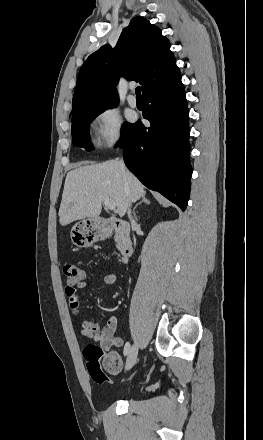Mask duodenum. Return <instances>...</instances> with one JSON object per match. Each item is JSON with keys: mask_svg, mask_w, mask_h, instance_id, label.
I'll return each mask as SVG.
<instances>
[{"mask_svg": "<svg viewBox=\"0 0 263 440\" xmlns=\"http://www.w3.org/2000/svg\"><path fill=\"white\" fill-rule=\"evenodd\" d=\"M102 230L104 238H106L112 232L117 234L120 260L121 262H126L134 252L133 241L130 236V224L126 221L109 217L104 220Z\"/></svg>", "mask_w": 263, "mask_h": 440, "instance_id": "duodenum-1", "label": "duodenum"}]
</instances>
